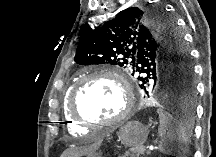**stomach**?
Masks as SVG:
<instances>
[{
	"mask_svg": "<svg viewBox=\"0 0 216 157\" xmlns=\"http://www.w3.org/2000/svg\"><path fill=\"white\" fill-rule=\"evenodd\" d=\"M118 135L127 146L136 147L142 145L148 136V129L136 121L128 122L120 126ZM86 157H103L101 151H95Z\"/></svg>",
	"mask_w": 216,
	"mask_h": 157,
	"instance_id": "1",
	"label": "stomach"
}]
</instances>
